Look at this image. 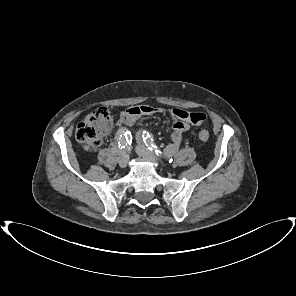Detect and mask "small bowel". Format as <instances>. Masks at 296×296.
<instances>
[{"mask_svg":"<svg viewBox=\"0 0 296 296\" xmlns=\"http://www.w3.org/2000/svg\"><path fill=\"white\" fill-rule=\"evenodd\" d=\"M164 111V109L153 107L151 105H138L130 107L121 113L120 123L124 126H131L142 116L162 113ZM167 113L173 121L171 143L166 147L167 152L171 154L179 149L183 135L190 126L200 125L202 122H193L191 120L192 114L199 112H188L183 109L172 108L168 109Z\"/></svg>","mask_w":296,"mask_h":296,"instance_id":"small-bowel-1","label":"small bowel"}]
</instances>
